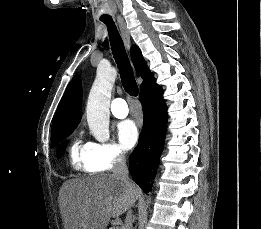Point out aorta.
Here are the masks:
<instances>
[{
    "label": "aorta",
    "mask_w": 261,
    "mask_h": 229,
    "mask_svg": "<svg viewBox=\"0 0 261 229\" xmlns=\"http://www.w3.org/2000/svg\"><path fill=\"white\" fill-rule=\"evenodd\" d=\"M117 76L114 66H98L96 78L89 92L86 106V117L90 131L108 133L110 96Z\"/></svg>",
    "instance_id": "762f6f07"
}]
</instances>
